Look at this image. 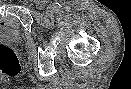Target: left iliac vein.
Returning <instances> with one entry per match:
<instances>
[{"label":"left iliac vein","instance_id":"left-iliac-vein-1","mask_svg":"<svg viewBox=\"0 0 131 89\" xmlns=\"http://www.w3.org/2000/svg\"><path fill=\"white\" fill-rule=\"evenodd\" d=\"M52 13H53V8L52 7H48L47 8V14L48 15H52Z\"/></svg>","mask_w":131,"mask_h":89}]
</instances>
